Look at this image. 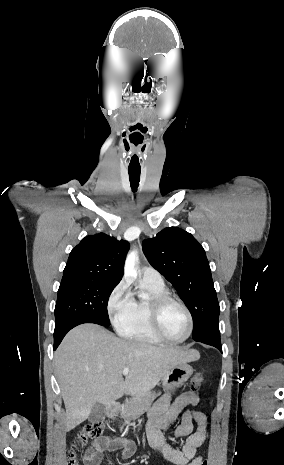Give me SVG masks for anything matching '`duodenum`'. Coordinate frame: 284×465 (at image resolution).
I'll use <instances>...</instances> for the list:
<instances>
[{
    "instance_id": "obj_1",
    "label": "duodenum",
    "mask_w": 284,
    "mask_h": 465,
    "mask_svg": "<svg viewBox=\"0 0 284 465\" xmlns=\"http://www.w3.org/2000/svg\"><path fill=\"white\" fill-rule=\"evenodd\" d=\"M119 410H120V406L117 403H113L106 411L107 416L109 418H113L117 415Z\"/></svg>"
}]
</instances>
